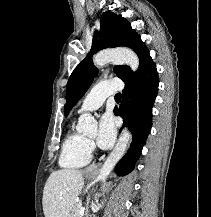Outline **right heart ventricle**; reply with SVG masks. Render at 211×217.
I'll list each match as a JSON object with an SVG mask.
<instances>
[{
	"instance_id": "1",
	"label": "right heart ventricle",
	"mask_w": 211,
	"mask_h": 217,
	"mask_svg": "<svg viewBox=\"0 0 211 217\" xmlns=\"http://www.w3.org/2000/svg\"><path fill=\"white\" fill-rule=\"evenodd\" d=\"M90 160L91 150L87 138L74 128L70 129L62 144L59 158L60 166L81 168L86 166Z\"/></svg>"
}]
</instances>
